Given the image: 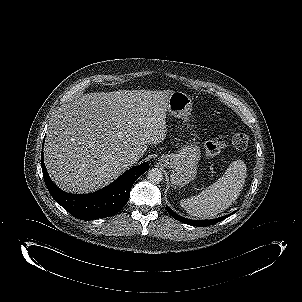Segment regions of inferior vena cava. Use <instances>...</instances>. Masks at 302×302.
<instances>
[{
  "label": "inferior vena cava",
  "mask_w": 302,
  "mask_h": 302,
  "mask_svg": "<svg viewBox=\"0 0 302 302\" xmlns=\"http://www.w3.org/2000/svg\"><path fill=\"white\" fill-rule=\"evenodd\" d=\"M140 157L141 156L139 155V153L131 151L126 155L125 161L130 166L135 164L140 159Z\"/></svg>",
  "instance_id": "obj_1"
}]
</instances>
